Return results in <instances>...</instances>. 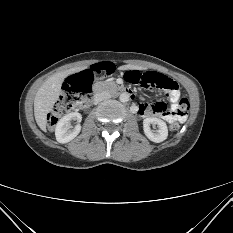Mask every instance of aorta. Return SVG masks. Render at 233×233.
<instances>
[{
  "mask_svg": "<svg viewBox=\"0 0 233 233\" xmlns=\"http://www.w3.org/2000/svg\"><path fill=\"white\" fill-rule=\"evenodd\" d=\"M119 99L123 103L128 102L130 99V95H129V93L123 92L120 94Z\"/></svg>",
  "mask_w": 233,
  "mask_h": 233,
  "instance_id": "obj_1",
  "label": "aorta"
}]
</instances>
